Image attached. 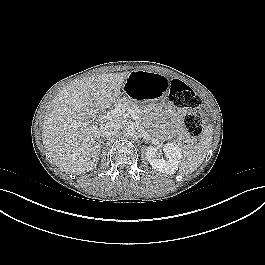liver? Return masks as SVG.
Here are the masks:
<instances>
[{
	"label": "liver",
	"instance_id": "6515ba94",
	"mask_svg": "<svg viewBox=\"0 0 265 265\" xmlns=\"http://www.w3.org/2000/svg\"><path fill=\"white\" fill-rule=\"evenodd\" d=\"M129 72L85 77L65 86L45 115L42 139L53 162L67 174L93 170L99 160L100 129L84 122L120 96ZM73 121L86 125L74 127Z\"/></svg>",
	"mask_w": 265,
	"mask_h": 265
}]
</instances>
